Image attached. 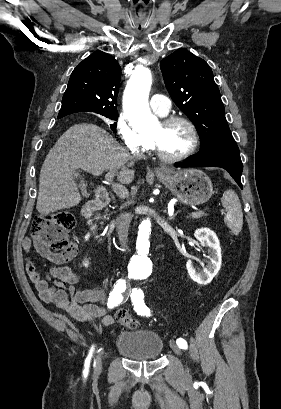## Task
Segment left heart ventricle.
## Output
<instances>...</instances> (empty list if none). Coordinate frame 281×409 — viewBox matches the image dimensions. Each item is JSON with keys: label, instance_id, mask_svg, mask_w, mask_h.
<instances>
[{"label": "left heart ventricle", "instance_id": "left-heart-ventricle-1", "mask_svg": "<svg viewBox=\"0 0 281 409\" xmlns=\"http://www.w3.org/2000/svg\"><path fill=\"white\" fill-rule=\"evenodd\" d=\"M155 140L158 148L166 155H180L187 150L190 144V133L180 122L162 127L158 123L147 135Z\"/></svg>", "mask_w": 281, "mask_h": 409}]
</instances>
